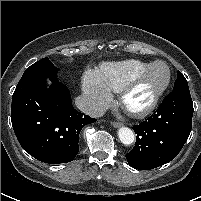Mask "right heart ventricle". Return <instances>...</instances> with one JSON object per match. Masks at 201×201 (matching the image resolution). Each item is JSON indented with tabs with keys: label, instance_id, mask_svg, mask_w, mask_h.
I'll return each instance as SVG.
<instances>
[{
	"label": "right heart ventricle",
	"instance_id": "1",
	"mask_svg": "<svg viewBox=\"0 0 201 201\" xmlns=\"http://www.w3.org/2000/svg\"><path fill=\"white\" fill-rule=\"evenodd\" d=\"M150 64L151 63L136 59H128L119 62L105 63L97 72L111 91L119 93L126 82Z\"/></svg>",
	"mask_w": 201,
	"mask_h": 201
}]
</instances>
